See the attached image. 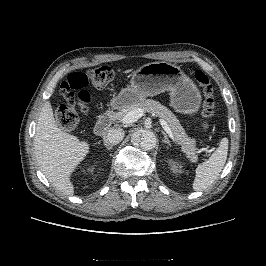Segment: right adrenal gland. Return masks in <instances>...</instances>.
I'll use <instances>...</instances> for the list:
<instances>
[{
	"label": "right adrenal gland",
	"instance_id": "obj_1",
	"mask_svg": "<svg viewBox=\"0 0 266 266\" xmlns=\"http://www.w3.org/2000/svg\"><path fill=\"white\" fill-rule=\"evenodd\" d=\"M104 147L107 148L108 150L113 149L112 146L108 145L107 143H103Z\"/></svg>",
	"mask_w": 266,
	"mask_h": 266
}]
</instances>
